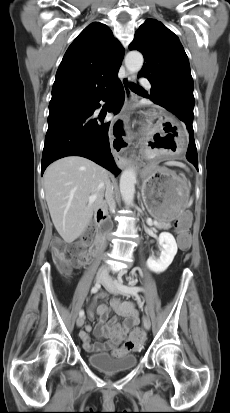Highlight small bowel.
Segmentation results:
<instances>
[{"label":"small bowel","mask_w":230,"mask_h":413,"mask_svg":"<svg viewBox=\"0 0 230 413\" xmlns=\"http://www.w3.org/2000/svg\"><path fill=\"white\" fill-rule=\"evenodd\" d=\"M110 309L114 310L117 315L124 317L125 320L122 324H119L115 317L108 319ZM95 314L99 316V321L94 329V334L98 339H107V341L92 342L89 337L92 327L86 325L85 330L80 333L84 349L88 352H110L114 356L130 354L131 350L126 346L127 341H123L126 334L139 323L138 312L133 304L122 301L120 298H112L110 306L94 302L89 309V316L93 318Z\"/></svg>","instance_id":"small-bowel-1"}]
</instances>
